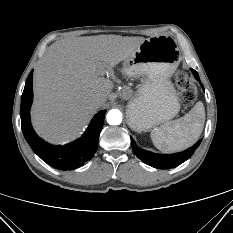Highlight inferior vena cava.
<instances>
[{
    "mask_svg": "<svg viewBox=\"0 0 233 233\" xmlns=\"http://www.w3.org/2000/svg\"><path fill=\"white\" fill-rule=\"evenodd\" d=\"M102 98V96L98 95L97 96V100H100Z\"/></svg>",
    "mask_w": 233,
    "mask_h": 233,
    "instance_id": "602c4592",
    "label": "inferior vena cava"
}]
</instances>
